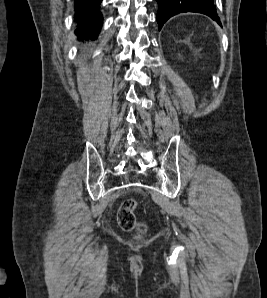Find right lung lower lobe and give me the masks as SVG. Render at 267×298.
I'll return each mask as SVG.
<instances>
[{"mask_svg":"<svg viewBox=\"0 0 267 298\" xmlns=\"http://www.w3.org/2000/svg\"><path fill=\"white\" fill-rule=\"evenodd\" d=\"M102 0H75V19L78 27L75 34L86 40H95L102 26L99 11Z\"/></svg>","mask_w":267,"mask_h":298,"instance_id":"obj_1","label":"right lung lower lobe"}]
</instances>
